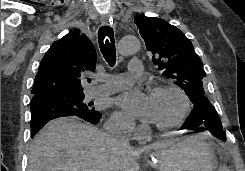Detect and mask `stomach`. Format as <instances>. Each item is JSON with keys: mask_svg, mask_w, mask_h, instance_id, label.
<instances>
[{"mask_svg": "<svg viewBox=\"0 0 245 171\" xmlns=\"http://www.w3.org/2000/svg\"><path fill=\"white\" fill-rule=\"evenodd\" d=\"M217 145L207 134L173 141L152 155L157 171H215Z\"/></svg>", "mask_w": 245, "mask_h": 171, "instance_id": "1", "label": "stomach"}]
</instances>
